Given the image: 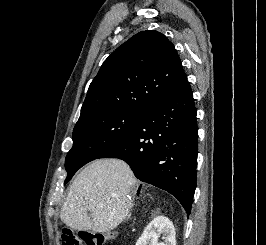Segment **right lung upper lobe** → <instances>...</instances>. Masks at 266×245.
<instances>
[{"label": "right lung upper lobe", "instance_id": "obj_1", "mask_svg": "<svg viewBox=\"0 0 266 245\" xmlns=\"http://www.w3.org/2000/svg\"><path fill=\"white\" fill-rule=\"evenodd\" d=\"M187 82L174 45L162 33L141 31L117 48L91 82L84 115L108 108L146 111Z\"/></svg>", "mask_w": 266, "mask_h": 245}]
</instances>
